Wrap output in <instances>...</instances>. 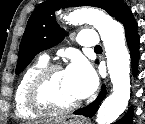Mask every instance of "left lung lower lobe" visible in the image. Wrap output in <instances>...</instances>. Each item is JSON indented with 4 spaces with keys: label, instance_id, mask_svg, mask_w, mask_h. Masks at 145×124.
<instances>
[{
    "label": "left lung lower lobe",
    "instance_id": "obj_1",
    "mask_svg": "<svg viewBox=\"0 0 145 124\" xmlns=\"http://www.w3.org/2000/svg\"><path fill=\"white\" fill-rule=\"evenodd\" d=\"M117 20L121 22L125 27L126 40H127V44L130 49V52H131L132 70H133L134 75H136L137 63L139 59V40H140L137 33V23L129 8L124 10L119 15ZM105 95H106V90H105V86L103 85L97 99L93 103H91L89 106L75 111L74 114L83 115V116H91L92 114L96 113L99 107V104L102 102ZM132 115H133V108L130 107L126 115L123 118H121L119 121L115 122L114 124H132Z\"/></svg>",
    "mask_w": 145,
    "mask_h": 124
}]
</instances>
